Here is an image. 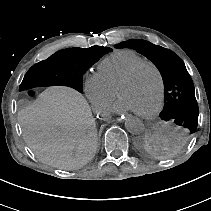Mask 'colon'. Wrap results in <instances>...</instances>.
I'll list each match as a JSON object with an SVG mask.
<instances>
[{
  "label": "colon",
  "instance_id": "1",
  "mask_svg": "<svg viewBox=\"0 0 211 211\" xmlns=\"http://www.w3.org/2000/svg\"><path fill=\"white\" fill-rule=\"evenodd\" d=\"M28 95H29L30 97H35V96L37 95V91H35V90H29V91H28Z\"/></svg>",
  "mask_w": 211,
  "mask_h": 211
}]
</instances>
